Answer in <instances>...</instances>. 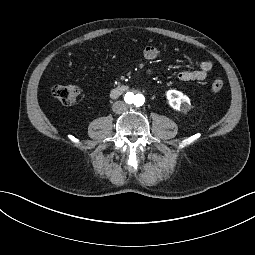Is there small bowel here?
<instances>
[{
  "label": "small bowel",
  "instance_id": "obj_1",
  "mask_svg": "<svg viewBox=\"0 0 255 255\" xmlns=\"http://www.w3.org/2000/svg\"><path fill=\"white\" fill-rule=\"evenodd\" d=\"M144 58L147 60L158 59L162 55V51L154 46L147 45L143 50ZM194 68L191 70L181 71L178 74V78L182 81H202L207 77V74L212 69V63L208 60H202L192 63ZM154 69L148 68L145 70V77H149L153 74Z\"/></svg>",
  "mask_w": 255,
  "mask_h": 255
}]
</instances>
